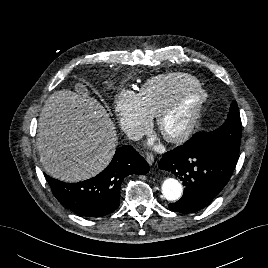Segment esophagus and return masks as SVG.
Masks as SVG:
<instances>
[{
    "instance_id": "obj_1",
    "label": "esophagus",
    "mask_w": 268,
    "mask_h": 268,
    "mask_svg": "<svg viewBox=\"0 0 268 268\" xmlns=\"http://www.w3.org/2000/svg\"><path fill=\"white\" fill-rule=\"evenodd\" d=\"M146 161L149 165H152L154 163V155L151 153L146 154Z\"/></svg>"
}]
</instances>
